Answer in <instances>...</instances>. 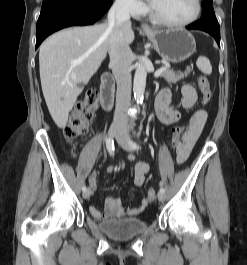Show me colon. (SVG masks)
Returning <instances> with one entry per match:
<instances>
[{
  "label": "colon",
  "instance_id": "5ec220e1",
  "mask_svg": "<svg viewBox=\"0 0 247 265\" xmlns=\"http://www.w3.org/2000/svg\"><path fill=\"white\" fill-rule=\"evenodd\" d=\"M198 86L202 94V103H208L212 98L210 83L206 76L198 79ZM98 105V94L96 91H89L85 97L78 102L72 111L64 129V136L70 143L75 142L79 137L88 131L89 122L93 118ZM184 126L178 125L173 129L171 136V149L177 156L181 141V134ZM156 190L150 188L147 193V201L152 202L156 198Z\"/></svg>",
  "mask_w": 247,
  "mask_h": 265
}]
</instances>
